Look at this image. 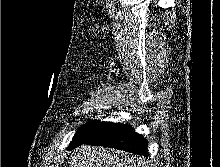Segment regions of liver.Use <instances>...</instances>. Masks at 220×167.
Returning <instances> with one entry per match:
<instances>
[{
  "label": "liver",
  "instance_id": "obj_1",
  "mask_svg": "<svg viewBox=\"0 0 220 167\" xmlns=\"http://www.w3.org/2000/svg\"><path fill=\"white\" fill-rule=\"evenodd\" d=\"M69 167H147L144 160L112 148L82 145L74 150Z\"/></svg>",
  "mask_w": 220,
  "mask_h": 167
}]
</instances>
